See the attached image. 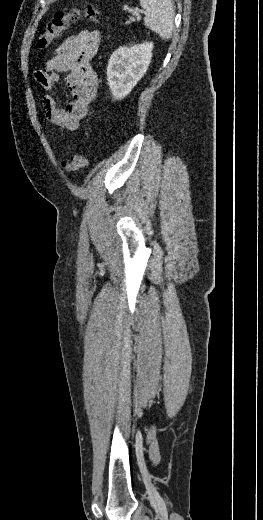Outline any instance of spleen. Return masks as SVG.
Returning a JSON list of instances; mask_svg holds the SVG:
<instances>
[{
  "instance_id": "spleen-1",
  "label": "spleen",
  "mask_w": 263,
  "mask_h": 520,
  "mask_svg": "<svg viewBox=\"0 0 263 520\" xmlns=\"http://www.w3.org/2000/svg\"><path fill=\"white\" fill-rule=\"evenodd\" d=\"M145 9V26L163 40H169L174 30L175 9L172 0H140Z\"/></svg>"
}]
</instances>
